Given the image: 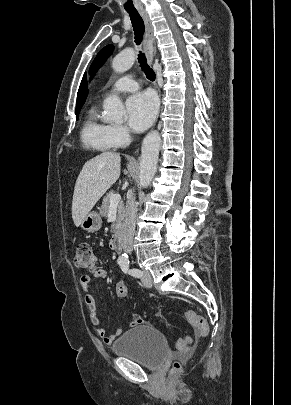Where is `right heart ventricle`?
<instances>
[{"instance_id":"1","label":"right heart ventricle","mask_w":291,"mask_h":405,"mask_svg":"<svg viewBox=\"0 0 291 405\" xmlns=\"http://www.w3.org/2000/svg\"><path fill=\"white\" fill-rule=\"evenodd\" d=\"M81 138L83 143L98 151H109L117 147L112 137V125L103 120L96 106L86 114Z\"/></svg>"}]
</instances>
